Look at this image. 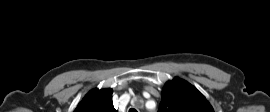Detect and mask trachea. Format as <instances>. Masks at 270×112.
<instances>
[{
  "instance_id": "3493384b",
  "label": "trachea",
  "mask_w": 270,
  "mask_h": 112,
  "mask_svg": "<svg viewBox=\"0 0 270 112\" xmlns=\"http://www.w3.org/2000/svg\"><path fill=\"white\" fill-rule=\"evenodd\" d=\"M129 112H137V110L134 109V108H130V109H129Z\"/></svg>"
}]
</instances>
